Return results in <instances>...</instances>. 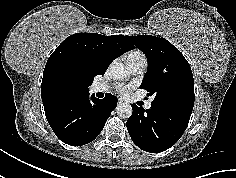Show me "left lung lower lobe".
Wrapping results in <instances>:
<instances>
[{"label": "left lung lower lobe", "instance_id": "obj_1", "mask_svg": "<svg viewBox=\"0 0 236 178\" xmlns=\"http://www.w3.org/2000/svg\"><path fill=\"white\" fill-rule=\"evenodd\" d=\"M133 113L126 126L132 141L150 153L163 152L172 147L187 128L192 111L153 104L143 109L131 104Z\"/></svg>", "mask_w": 236, "mask_h": 178}]
</instances>
